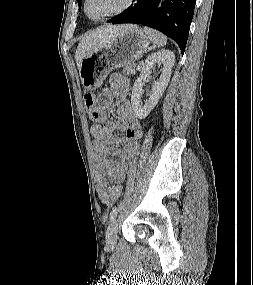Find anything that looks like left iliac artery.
I'll list each match as a JSON object with an SVG mask.
<instances>
[{"instance_id": "1", "label": "left iliac artery", "mask_w": 253, "mask_h": 285, "mask_svg": "<svg viewBox=\"0 0 253 285\" xmlns=\"http://www.w3.org/2000/svg\"><path fill=\"white\" fill-rule=\"evenodd\" d=\"M119 210H120V207H114V208L112 209V211H111V213H110V221H111V222L116 218V216H117Z\"/></svg>"}]
</instances>
